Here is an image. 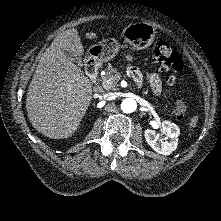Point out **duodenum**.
<instances>
[{"instance_id": "duodenum-1", "label": "duodenum", "mask_w": 221, "mask_h": 221, "mask_svg": "<svg viewBox=\"0 0 221 221\" xmlns=\"http://www.w3.org/2000/svg\"><path fill=\"white\" fill-rule=\"evenodd\" d=\"M85 72L91 82H95L98 74V63L93 57L86 60Z\"/></svg>"}]
</instances>
